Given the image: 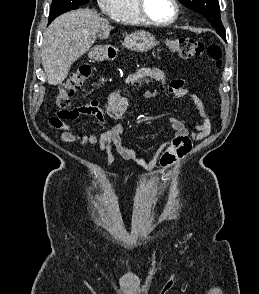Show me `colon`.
I'll return each instance as SVG.
<instances>
[{
  "mask_svg": "<svg viewBox=\"0 0 259 294\" xmlns=\"http://www.w3.org/2000/svg\"><path fill=\"white\" fill-rule=\"evenodd\" d=\"M167 46L170 51L182 58L189 59L201 56L204 52L216 64L221 63V50L217 45H205L196 39L181 37L169 39ZM91 69L87 65L79 67L70 77L62 83L56 98L59 112L68 117L73 111L71 107V97L90 78Z\"/></svg>",
  "mask_w": 259,
  "mask_h": 294,
  "instance_id": "colon-1",
  "label": "colon"
}]
</instances>
